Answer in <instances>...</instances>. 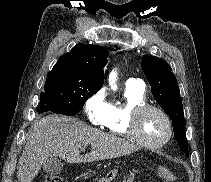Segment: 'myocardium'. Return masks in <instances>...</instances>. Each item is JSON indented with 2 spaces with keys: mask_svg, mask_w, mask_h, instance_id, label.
Segmentation results:
<instances>
[{
  "mask_svg": "<svg viewBox=\"0 0 211 182\" xmlns=\"http://www.w3.org/2000/svg\"><path fill=\"white\" fill-rule=\"evenodd\" d=\"M149 110H154V111L158 112L164 119L166 126H167L166 136L164 137V139H162L158 143H149L140 137L139 119L145 112H147ZM129 133H130L132 139L135 140L139 145L146 147V148H150V149H159V148H162L163 146H165L172 138L173 125H172V121H171L170 117L161 107L145 102V103L135 105L131 109L130 115H129Z\"/></svg>",
  "mask_w": 211,
  "mask_h": 182,
  "instance_id": "1",
  "label": "myocardium"
}]
</instances>
